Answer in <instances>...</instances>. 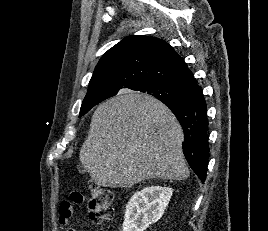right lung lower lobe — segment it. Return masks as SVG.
<instances>
[{
    "label": "right lung lower lobe",
    "mask_w": 268,
    "mask_h": 231,
    "mask_svg": "<svg viewBox=\"0 0 268 231\" xmlns=\"http://www.w3.org/2000/svg\"><path fill=\"white\" fill-rule=\"evenodd\" d=\"M179 120L184 131L183 153L202 182L209 158L207 106L200 86L184 102H163Z\"/></svg>",
    "instance_id": "1"
}]
</instances>
